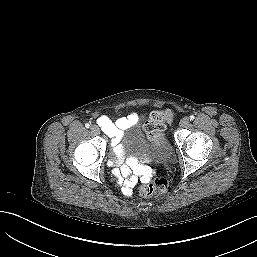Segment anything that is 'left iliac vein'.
Returning a JSON list of instances; mask_svg holds the SVG:
<instances>
[{
  "instance_id": "1",
  "label": "left iliac vein",
  "mask_w": 257,
  "mask_h": 257,
  "mask_svg": "<svg viewBox=\"0 0 257 257\" xmlns=\"http://www.w3.org/2000/svg\"><path fill=\"white\" fill-rule=\"evenodd\" d=\"M188 124H189V118L188 117L182 118L180 120V123H179L180 127H186V126H188Z\"/></svg>"
}]
</instances>
